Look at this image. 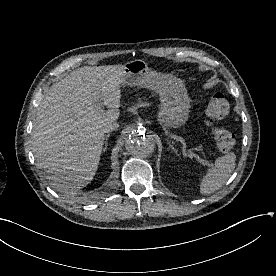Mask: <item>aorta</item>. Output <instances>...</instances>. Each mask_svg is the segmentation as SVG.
<instances>
[{
    "instance_id": "762f6f07",
    "label": "aorta",
    "mask_w": 276,
    "mask_h": 276,
    "mask_svg": "<svg viewBox=\"0 0 276 276\" xmlns=\"http://www.w3.org/2000/svg\"><path fill=\"white\" fill-rule=\"evenodd\" d=\"M155 148V139L152 135L134 131L132 132L126 141L127 151L138 158H145L153 153Z\"/></svg>"
}]
</instances>
